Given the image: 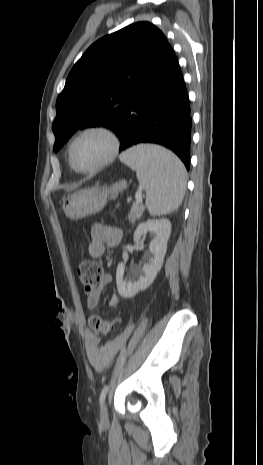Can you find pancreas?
Segmentation results:
<instances>
[{"label":"pancreas","instance_id":"cf45deb5","mask_svg":"<svg viewBox=\"0 0 263 465\" xmlns=\"http://www.w3.org/2000/svg\"><path fill=\"white\" fill-rule=\"evenodd\" d=\"M143 212H144L143 205H135V206L133 205L128 215L129 222L135 223L136 220L140 219Z\"/></svg>","mask_w":263,"mask_h":465}]
</instances>
